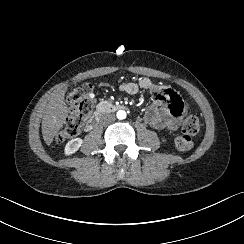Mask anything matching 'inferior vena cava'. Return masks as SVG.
Wrapping results in <instances>:
<instances>
[{
  "label": "inferior vena cava",
  "instance_id": "inferior-vena-cava-1",
  "mask_svg": "<svg viewBox=\"0 0 244 244\" xmlns=\"http://www.w3.org/2000/svg\"><path fill=\"white\" fill-rule=\"evenodd\" d=\"M115 115L114 114H105L103 117H102V120L106 121V122H113L115 121Z\"/></svg>",
  "mask_w": 244,
  "mask_h": 244
}]
</instances>
